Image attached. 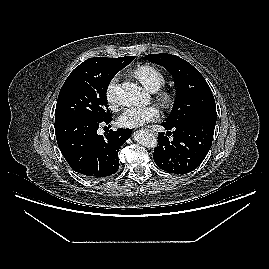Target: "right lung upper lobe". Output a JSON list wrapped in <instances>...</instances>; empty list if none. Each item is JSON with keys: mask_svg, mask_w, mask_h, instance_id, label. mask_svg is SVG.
Returning <instances> with one entry per match:
<instances>
[{"mask_svg": "<svg viewBox=\"0 0 269 269\" xmlns=\"http://www.w3.org/2000/svg\"><path fill=\"white\" fill-rule=\"evenodd\" d=\"M135 56L119 58L95 57L89 58L81 63L79 68L98 69V70H117L120 71L134 60Z\"/></svg>", "mask_w": 269, "mask_h": 269, "instance_id": "right-lung-upper-lobe-1", "label": "right lung upper lobe"}]
</instances>
